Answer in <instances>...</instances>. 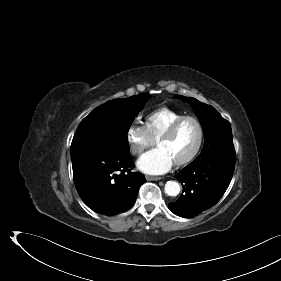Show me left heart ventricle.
<instances>
[{
  "mask_svg": "<svg viewBox=\"0 0 281 281\" xmlns=\"http://www.w3.org/2000/svg\"><path fill=\"white\" fill-rule=\"evenodd\" d=\"M198 136L196 123L193 120H185L170 139L158 144V148L164 150L175 163L194 150Z\"/></svg>",
  "mask_w": 281,
  "mask_h": 281,
  "instance_id": "b2bd125f",
  "label": "left heart ventricle"
}]
</instances>
